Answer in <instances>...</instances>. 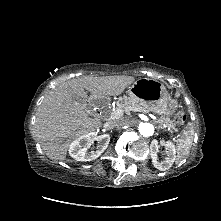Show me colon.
Instances as JSON below:
<instances>
[{
    "label": "colon",
    "instance_id": "colon-1",
    "mask_svg": "<svg viewBox=\"0 0 221 221\" xmlns=\"http://www.w3.org/2000/svg\"><path fill=\"white\" fill-rule=\"evenodd\" d=\"M171 106H175V102L174 101L171 102ZM184 121H185L184 113L183 112H178L176 114V122L177 123H183Z\"/></svg>",
    "mask_w": 221,
    "mask_h": 221
}]
</instances>
